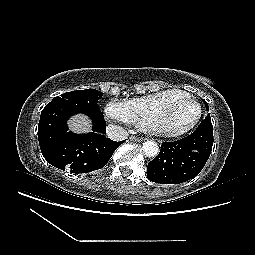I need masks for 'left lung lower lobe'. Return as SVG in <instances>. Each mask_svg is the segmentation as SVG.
<instances>
[{"mask_svg": "<svg viewBox=\"0 0 255 255\" xmlns=\"http://www.w3.org/2000/svg\"><path fill=\"white\" fill-rule=\"evenodd\" d=\"M212 145L213 128L208 114L192 134L178 141L162 143L158 156L148 163L147 177L161 184L190 180L205 166Z\"/></svg>", "mask_w": 255, "mask_h": 255, "instance_id": "left-lung-lower-lobe-1", "label": "left lung lower lobe"}]
</instances>
